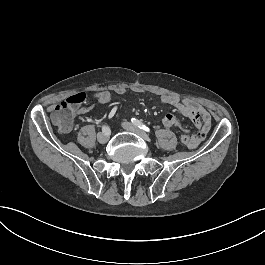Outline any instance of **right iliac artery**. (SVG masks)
<instances>
[{
    "label": "right iliac artery",
    "instance_id": "right-iliac-artery-1",
    "mask_svg": "<svg viewBox=\"0 0 265 265\" xmlns=\"http://www.w3.org/2000/svg\"><path fill=\"white\" fill-rule=\"evenodd\" d=\"M102 131H103V133H110V129L106 126L102 127Z\"/></svg>",
    "mask_w": 265,
    "mask_h": 265
}]
</instances>
